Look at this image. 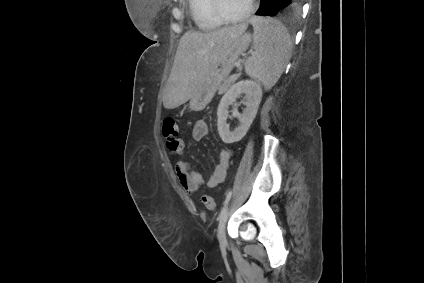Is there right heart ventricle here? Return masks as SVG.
<instances>
[{"instance_id": "e07e8e85", "label": "right heart ventricle", "mask_w": 424, "mask_h": 283, "mask_svg": "<svg viewBox=\"0 0 424 283\" xmlns=\"http://www.w3.org/2000/svg\"><path fill=\"white\" fill-rule=\"evenodd\" d=\"M188 5L192 20L200 30H215L223 25L212 12L211 0H188Z\"/></svg>"}]
</instances>
